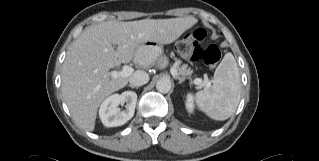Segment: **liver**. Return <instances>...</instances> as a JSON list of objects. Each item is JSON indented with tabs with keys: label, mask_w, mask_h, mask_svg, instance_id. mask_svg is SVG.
<instances>
[{
	"label": "liver",
	"mask_w": 319,
	"mask_h": 161,
	"mask_svg": "<svg viewBox=\"0 0 319 161\" xmlns=\"http://www.w3.org/2000/svg\"><path fill=\"white\" fill-rule=\"evenodd\" d=\"M196 23V18L185 17L113 20L87 27L68 49L61 75L63 98L76 124L93 131L101 102L127 85V77H111L109 69L135 60L142 43L170 44Z\"/></svg>",
	"instance_id": "liver-1"
}]
</instances>
